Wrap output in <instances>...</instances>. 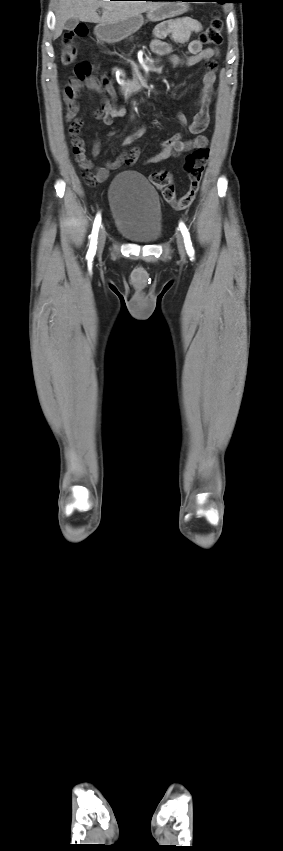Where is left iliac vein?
I'll list each match as a JSON object with an SVG mask.
<instances>
[{"label":"left iliac vein","instance_id":"obj_1","mask_svg":"<svg viewBox=\"0 0 283 851\" xmlns=\"http://www.w3.org/2000/svg\"><path fill=\"white\" fill-rule=\"evenodd\" d=\"M176 241H177V247H178L180 255L184 256L185 255V245H184V239H183L180 232L176 233Z\"/></svg>","mask_w":283,"mask_h":851}]
</instances>
